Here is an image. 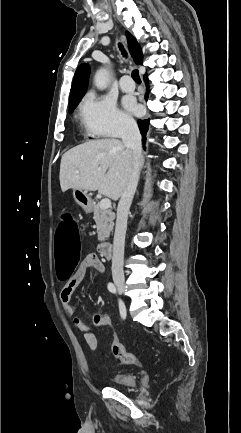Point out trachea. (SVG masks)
Returning <instances> with one entry per match:
<instances>
[{
    "instance_id": "3493384b",
    "label": "trachea",
    "mask_w": 241,
    "mask_h": 433,
    "mask_svg": "<svg viewBox=\"0 0 241 433\" xmlns=\"http://www.w3.org/2000/svg\"><path fill=\"white\" fill-rule=\"evenodd\" d=\"M119 48H120V50H121L123 56L126 57V56H127V53H126V51L124 50V48H123V46H122L121 44H119ZM131 76H132V78H133L137 83H139V84L141 83V79H140V76H139V72H138V70H133Z\"/></svg>"
}]
</instances>
